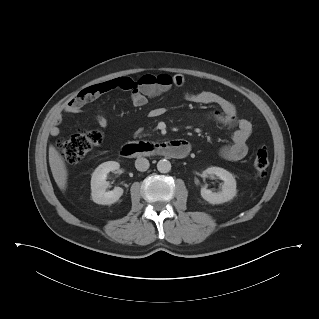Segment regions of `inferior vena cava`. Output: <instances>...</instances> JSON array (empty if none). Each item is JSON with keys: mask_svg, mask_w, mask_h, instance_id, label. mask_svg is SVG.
Returning a JSON list of instances; mask_svg holds the SVG:
<instances>
[{"mask_svg": "<svg viewBox=\"0 0 319 319\" xmlns=\"http://www.w3.org/2000/svg\"><path fill=\"white\" fill-rule=\"evenodd\" d=\"M149 165V161L146 158H137L135 161V167L138 171H146Z\"/></svg>", "mask_w": 319, "mask_h": 319, "instance_id": "obj_1", "label": "inferior vena cava"}]
</instances>
